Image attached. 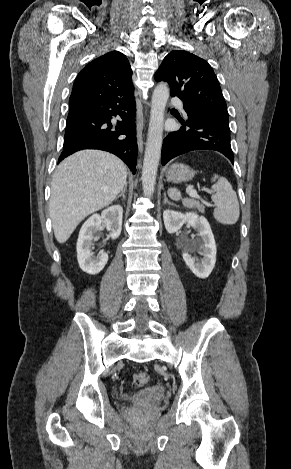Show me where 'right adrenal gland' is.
<instances>
[{
  "instance_id": "obj_1",
  "label": "right adrenal gland",
  "mask_w": 291,
  "mask_h": 469,
  "mask_svg": "<svg viewBox=\"0 0 291 469\" xmlns=\"http://www.w3.org/2000/svg\"><path fill=\"white\" fill-rule=\"evenodd\" d=\"M126 189H127V183L125 184V186H124L123 189L121 190V193L115 198V200H117V199L120 198V197H123V199H126V197H125Z\"/></svg>"
}]
</instances>
